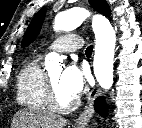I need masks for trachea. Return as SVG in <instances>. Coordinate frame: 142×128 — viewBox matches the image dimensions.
Listing matches in <instances>:
<instances>
[{"instance_id":"3493384b","label":"trachea","mask_w":142,"mask_h":128,"mask_svg":"<svg viewBox=\"0 0 142 128\" xmlns=\"http://www.w3.org/2000/svg\"><path fill=\"white\" fill-rule=\"evenodd\" d=\"M92 51H93V45H90L86 48L85 53H86L87 56H91Z\"/></svg>"}]
</instances>
